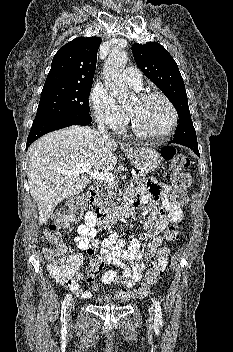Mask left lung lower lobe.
Wrapping results in <instances>:
<instances>
[{
	"mask_svg": "<svg viewBox=\"0 0 233 352\" xmlns=\"http://www.w3.org/2000/svg\"><path fill=\"white\" fill-rule=\"evenodd\" d=\"M173 142V141H172ZM171 143V141L169 142ZM174 143V142H173ZM178 144H181V145H184V146H187L189 147L191 150H193V152L195 154H197L199 156V150H198V143L197 141H185V142H181V143H178Z\"/></svg>",
	"mask_w": 233,
	"mask_h": 352,
	"instance_id": "0a47b994",
	"label": "left lung lower lobe"
}]
</instances>
